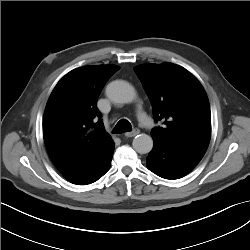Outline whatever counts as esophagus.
Returning <instances> with one entry per match:
<instances>
[{"label": "esophagus", "mask_w": 250, "mask_h": 250, "mask_svg": "<svg viewBox=\"0 0 250 250\" xmlns=\"http://www.w3.org/2000/svg\"><path fill=\"white\" fill-rule=\"evenodd\" d=\"M139 133H140V130H139V129H134V130L131 131V132L125 133V136H126V137H134V136L138 135Z\"/></svg>", "instance_id": "1"}]
</instances>
